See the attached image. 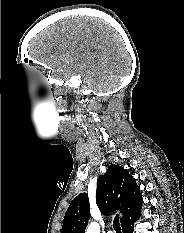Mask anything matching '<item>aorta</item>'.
<instances>
[{
  "mask_svg": "<svg viewBox=\"0 0 184 233\" xmlns=\"http://www.w3.org/2000/svg\"><path fill=\"white\" fill-rule=\"evenodd\" d=\"M86 233H100V227L97 223L95 222H92L87 230H86Z\"/></svg>",
  "mask_w": 184,
  "mask_h": 233,
  "instance_id": "obj_1",
  "label": "aorta"
}]
</instances>
